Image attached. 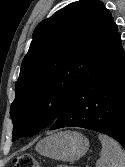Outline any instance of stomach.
I'll return each instance as SVG.
<instances>
[{
    "label": "stomach",
    "instance_id": "stomach-1",
    "mask_svg": "<svg viewBox=\"0 0 125 167\" xmlns=\"http://www.w3.org/2000/svg\"><path fill=\"white\" fill-rule=\"evenodd\" d=\"M35 149L43 156L73 162L86 154L89 141L79 132L60 131L39 141Z\"/></svg>",
    "mask_w": 125,
    "mask_h": 167
}]
</instances>
